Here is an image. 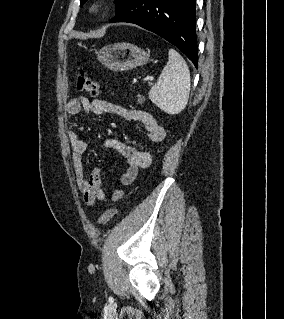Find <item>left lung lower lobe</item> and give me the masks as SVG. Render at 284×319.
Masks as SVG:
<instances>
[{
	"instance_id": "0a47b994",
	"label": "left lung lower lobe",
	"mask_w": 284,
	"mask_h": 319,
	"mask_svg": "<svg viewBox=\"0 0 284 319\" xmlns=\"http://www.w3.org/2000/svg\"><path fill=\"white\" fill-rule=\"evenodd\" d=\"M195 0H129L110 22L137 24L178 47L198 66Z\"/></svg>"
}]
</instances>
